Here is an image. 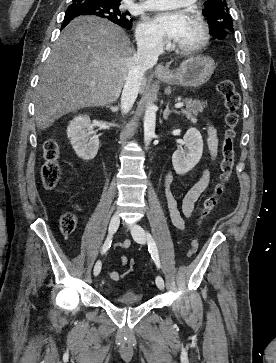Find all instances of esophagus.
<instances>
[{"label": "esophagus", "instance_id": "34e87169", "mask_svg": "<svg viewBox=\"0 0 276 363\" xmlns=\"http://www.w3.org/2000/svg\"><path fill=\"white\" fill-rule=\"evenodd\" d=\"M155 73L156 74H165V73H167V69L165 68V66L163 64H158L157 67L155 68Z\"/></svg>", "mask_w": 276, "mask_h": 363}]
</instances>
